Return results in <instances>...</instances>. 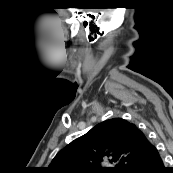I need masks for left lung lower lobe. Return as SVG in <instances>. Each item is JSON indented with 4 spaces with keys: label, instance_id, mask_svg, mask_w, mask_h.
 <instances>
[{
    "label": "left lung lower lobe",
    "instance_id": "0a47b994",
    "mask_svg": "<svg viewBox=\"0 0 173 173\" xmlns=\"http://www.w3.org/2000/svg\"><path fill=\"white\" fill-rule=\"evenodd\" d=\"M168 168L164 167L159 151L150 142L148 149L138 159L130 173H167Z\"/></svg>",
    "mask_w": 173,
    "mask_h": 173
}]
</instances>
